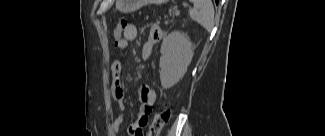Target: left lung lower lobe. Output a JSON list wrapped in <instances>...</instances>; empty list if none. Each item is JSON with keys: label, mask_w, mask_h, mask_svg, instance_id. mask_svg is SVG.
Returning a JSON list of instances; mask_svg holds the SVG:
<instances>
[{"label": "left lung lower lobe", "mask_w": 325, "mask_h": 136, "mask_svg": "<svg viewBox=\"0 0 325 136\" xmlns=\"http://www.w3.org/2000/svg\"><path fill=\"white\" fill-rule=\"evenodd\" d=\"M216 4H218L219 0H215Z\"/></svg>", "instance_id": "obj_1"}]
</instances>
